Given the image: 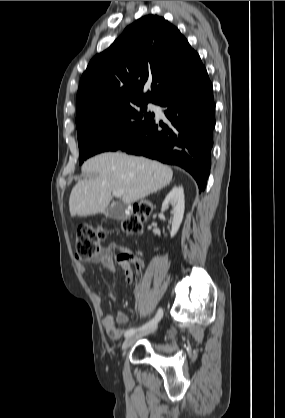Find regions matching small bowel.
Listing matches in <instances>:
<instances>
[{
	"mask_svg": "<svg viewBox=\"0 0 285 418\" xmlns=\"http://www.w3.org/2000/svg\"><path fill=\"white\" fill-rule=\"evenodd\" d=\"M89 262L92 264H102L104 267L112 271L115 270L116 266H118L124 273L125 282L128 284L133 282V269L131 265L124 262L114 251L108 248H100ZM77 269L81 274L86 272V267L83 264L79 263L77 265ZM135 293L136 295L139 294L138 288ZM96 298L98 299V297ZM108 298L112 301H116V297L112 293H108ZM115 321L119 325H124L127 323L128 317L123 311L119 310L116 312L115 319L111 315H106L102 320L107 336L110 339L117 341L122 338L124 331L116 325Z\"/></svg>",
	"mask_w": 285,
	"mask_h": 418,
	"instance_id": "obj_1",
	"label": "small bowel"
}]
</instances>
